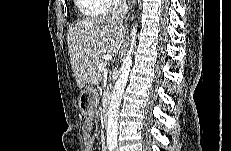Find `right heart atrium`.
I'll list each match as a JSON object with an SVG mask.
<instances>
[{"label": "right heart atrium", "instance_id": "obj_1", "mask_svg": "<svg viewBox=\"0 0 231 151\" xmlns=\"http://www.w3.org/2000/svg\"><path fill=\"white\" fill-rule=\"evenodd\" d=\"M105 11L113 12L116 11L120 5V1L118 0H104Z\"/></svg>", "mask_w": 231, "mask_h": 151}]
</instances>
